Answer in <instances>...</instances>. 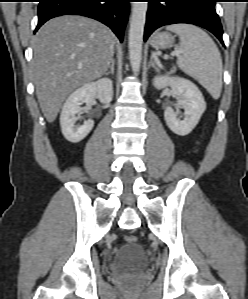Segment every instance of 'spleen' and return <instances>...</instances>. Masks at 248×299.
I'll return each instance as SVG.
<instances>
[{"instance_id": "spleen-1", "label": "spleen", "mask_w": 248, "mask_h": 299, "mask_svg": "<svg viewBox=\"0 0 248 299\" xmlns=\"http://www.w3.org/2000/svg\"><path fill=\"white\" fill-rule=\"evenodd\" d=\"M166 29L179 35V68L197 80L214 99H218L222 90V59L212 38L191 24H173Z\"/></svg>"}]
</instances>
